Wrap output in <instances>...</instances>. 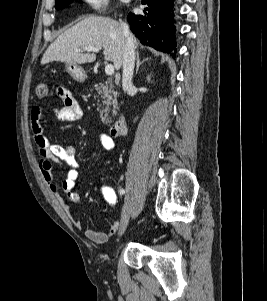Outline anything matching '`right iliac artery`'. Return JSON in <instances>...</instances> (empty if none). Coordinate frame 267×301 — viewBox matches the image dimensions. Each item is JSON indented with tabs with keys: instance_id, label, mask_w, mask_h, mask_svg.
<instances>
[{
	"instance_id": "obj_1",
	"label": "right iliac artery",
	"mask_w": 267,
	"mask_h": 301,
	"mask_svg": "<svg viewBox=\"0 0 267 301\" xmlns=\"http://www.w3.org/2000/svg\"><path fill=\"white\" fill-rule=\"evenodd\" d=\"M124 193H125V190H124V189H120V190H119V194H120V195H123Z\"/></svg>"
}]
</instances>
